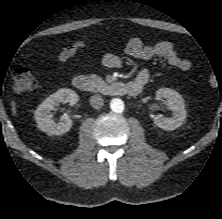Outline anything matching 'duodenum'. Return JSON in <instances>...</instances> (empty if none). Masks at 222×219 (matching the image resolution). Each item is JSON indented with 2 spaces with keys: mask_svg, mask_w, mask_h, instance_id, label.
<instances>
[{
  "mask_svg": "<svg viewBox=\"0 0 222 219\" xmlns=\"http://www.w3.org/2000/svg\"><path fill=\"white\" fill-rule=\"evenodd\" d=\"M73 86L79 91H89L91 86V81L88 76L86 75H77L73 78ZM142 89V85L137 82H122V81H115L110 83L106 90L115 95H123L127 94L130 96H137Z\"/></svg>",
  "mask_w": 222,
  "mask_h": 219,
  "instance_id": "duodenum-1",
  "label": "duodenum"
}]
</instances>
